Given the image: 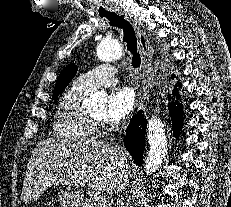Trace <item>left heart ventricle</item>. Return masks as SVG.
<instances>
[{
  "label": "left heart ventricle",
  "instance_id": "1",
  "mask_svg": "<svg viewBox=\"0 0 231 207\" xmlns=\"http://www.w3.org/2000/svg\"><path fill=\"white\" fill-rule=\"evenodd\" d=\"M104 107H100L94 111H91L90 112V115L93 117V118H96V119H102L103 115H104Z\"/></svg>",
  "mask_w": 231,
  "mask_h": 207
}]
</instances>
